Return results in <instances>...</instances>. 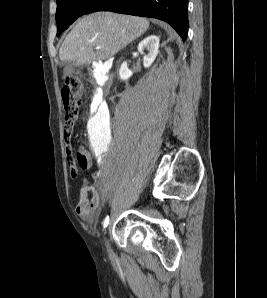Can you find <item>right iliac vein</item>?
I'll return each instance as SVG.
<instances>
[{"instance_id":"1","label":"right iliac vein","mask_w":267,"mask_h":298,"mask_svg":"<svg viewBox=\"0 0 267 298\" xmlns=\"http://www.w3.org/2000/svg\"><path fill=\"white\" fill-rule=\"evenodd\" d=\"M105 245H106L109 256L112 257V255H113L112 249L110 247V243H109V240L107 238H105Z\"/></svg>"}]
</instances>
